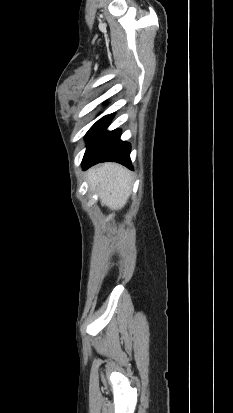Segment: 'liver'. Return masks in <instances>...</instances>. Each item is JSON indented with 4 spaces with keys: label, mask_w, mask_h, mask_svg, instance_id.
Segmentation results:
<instances>
[{
    "label": "liver",
    "mask_w": 233,
    "mask_h": 413,
    "mask_svg": "<svg viewBox=\"0 0 233 413\" xmlns=\"http://www.w3.org/2000/svg\"><path fill=\"white\" fill-rule=\"evenodd\" d=\"M90 187L96 189L102 205L120 210L131 194L132 175L116 163H104L88 171Z\"/></svg>",
    "instance_id": "obj_1"
}]
</instances>
